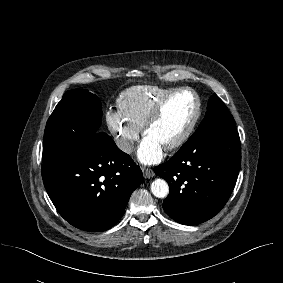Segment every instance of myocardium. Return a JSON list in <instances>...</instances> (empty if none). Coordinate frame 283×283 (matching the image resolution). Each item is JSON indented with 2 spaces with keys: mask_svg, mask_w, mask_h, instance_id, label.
<instances>
[{
  "mask_svg": "<svg viewBox=\"0 0 283 283\" xmlns=\"http://www.w3.org/2000/svg\"><path fill=\"white\" fill-rule=\"evenodd\" d=\"M184 92H188L193 96V98L195 100V104H196L195 113H194L192 119L190 120L189 124L187 125V127L182 131V133L176 139H174L171 143H169L167 146L164 147V150H166V151H171V150H174L176 148L181 147L183 144H185L188 141V139L193 134V132H194L199 120H200L201 113H202V104H201V100H200L198 94L193 89H191L189 87H181V88L173 89L172 91H170L169 93H167L166 95L161 97L156 102V104L154 105V107L150 111L149 115L147 116V118L144 121L143 126H142V133H143L144 136H146L148 129L153 125V123L159 117L160 113L162 112V110H163L164 106L167 104V102L171 98H173L175 95H177L179 93H184Z\"/></svg>",
  "mask_w": 283,
  "mask_h": 283,
  "instance_id": "f54148a6",
  "label": "myocardium"
}]
</instances>
